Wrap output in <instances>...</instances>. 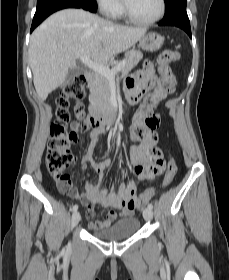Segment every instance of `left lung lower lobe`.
Wrapping results in <instances>:
<instances>
[{
    "label": "left lung lower lobe",
    "mask_w": 229,
    "mask_h": 280,
    "mask_svg": "<svg viewBox=\"0 0 229 280\" xmlns=\"http://www.w3.org/2000/svg\"><path fill=\"white\" fill-rule=\"evenodd\" d=\"M160 26H177L183 29L189 37H191L190 22L186 10L181 9L169 16H165L164 19L159 22Z\"/></svg>",
    "instance_id": "obj_1"
}]
</instances>
